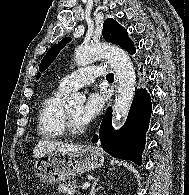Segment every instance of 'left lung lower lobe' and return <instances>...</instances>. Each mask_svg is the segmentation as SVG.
I'll use <instances>...</instances> for the list:
<instances>
[{
  "label": "left lung lower lobe",
  "mask_w": 189,
  "mask_h": 195,
  "mask_svg": "<svg viewBox=\"0 0 189 195\" xmlns=\"http://www.w3.org/2000/svg\"><path fill=\"white\" fill-rule=\"evenodd\" d=\"M151 112L150 95L146 89H138L124 126L119 131L112 128V110L109 108L102 120L99 135H95L92 142L99 140L102 148L113 157L141 165Z\"/></svg>",
  "instance_id": "0a47b994"
}]
</instances>
